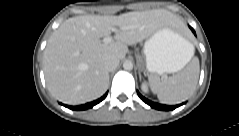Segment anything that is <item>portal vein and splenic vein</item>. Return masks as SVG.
I'll return each mask as SVG.
<instances>
[{
    "label": "portal vein and splenic vein",
    "mask_w": 239,
    "mask_h": 136,
    "mask_svg": "<svg viewBox=\"0 0 239 136\" xmlns=\"http://www.w3.org/2000/svg\"><path fill=\"white\" fill-rule=\"evenodd\" d=\"M126 29V28H125ZM113 31H117V29H115V28H113ZM112 40H113V38L111 37V36H106V37H104L103 38V42L104 43H110V42H112Z\"/></svg>",
    "instance_id": "portal-vein-and-splenic-vein-1"
}]
</instances>
